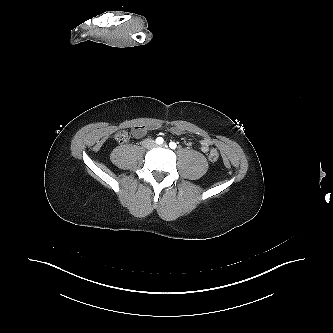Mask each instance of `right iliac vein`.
I'll list each match as a JSON object with an SVG mask.
<instances>
[{
    "mask_svg": "<svg viewBox=\"0 0 333 333\" xmlns=\"http://www.w3.org/2000/svg\"><path fill=\"white\" fill-rule=\"evenodd\" d=\"M144 147L146 148H150L154 145L153 141L152 140H146L144 143H143Z\"/></svg>",
    "mask_w": 333,
    "mask_h": 333,
    "instance_id": "right-iliac-vein-1",
    "label": "right iliac vein"
}]
</instances>
